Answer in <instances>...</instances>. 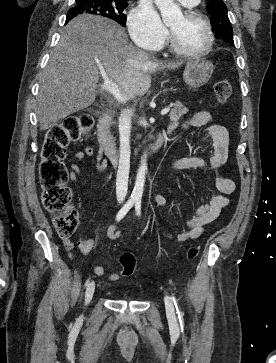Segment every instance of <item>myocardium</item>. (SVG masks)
<instances>
[{
	"label": "myocardium",
	"instance_id": "myocardium-1",
	"mask_svg": "<svg viewBox=\"0 0 276 363\" xmlns=\"http://www.w3.org/2000/svg\"><path fill=\"white\" fill-rule=\"evenodd\" d=\"M184 16L187 18V19H190V20H198V21H201L205 28H206V31H207V35H208V42L206 44V46L200 50V51H197V52H193V51H189V50H186L184 49L183 47H181L179 45V43L177 42L172 30H170V46H171V49L177 53L178 55L180 56H183V57H187V58H192V59H200V58H203L205 57L206 55H208L211 50L213 49V46H214V33H213V30H212V26H211V23L209 21V19L204 15L202 14L201 12L197 11V10H188L184 13Z\"/></svg>",
	"mask_w": 276,
	"mask_h": 363
}]
</instances>
